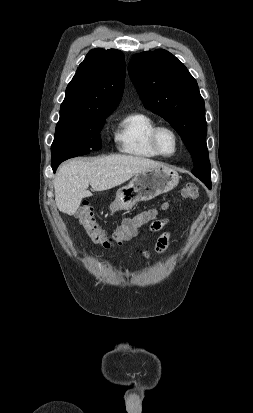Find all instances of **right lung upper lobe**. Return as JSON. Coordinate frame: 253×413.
Here are the masks:
<instances>
[{
    "label": "right lung upper lobe",
    "instance_id": "1",
    "mask_svg": "<svg viewBox=\"0 0 253 413\" xmlns=\"http://www.w3.org/2000/svg\"><path fill=\"white\" fill-rule=\"evenodd\" d=\"M125 82V58L116 49H93L66 88L60 119L95 116L114 111Z\"/></svg>",
    "mask_w": 253,
    "mask_h": 413
}]
</instances>
